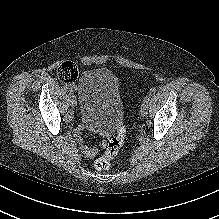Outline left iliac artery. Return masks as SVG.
Wrapping results in <instances>:
<instances>
[{
    "instance_id": "obj_1",
    "label": "left iliac artery",
    "mask_w": 219,
    "mask_h": 219,
    "mask_svg": "<svg viewBox=\"0 0 219 219\" xmlns=\"http://www.w3.org/2000/svg\"><path fill=\"white\" fill-rule=\"evenodd\" d=\"M150 98H151V94H148V95L144 98V103H145V104H148Z\"/></svg>"
}]
</instances>
